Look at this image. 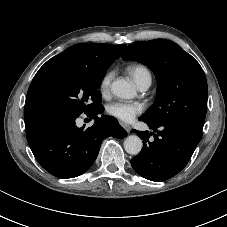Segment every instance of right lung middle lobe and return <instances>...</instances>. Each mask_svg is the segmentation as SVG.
<instances>
[{
    "label": "right lung middle lobe",
    "mask_w": 227,
    "mask_h": 227,
    "mask_svg": "<svg viewBox=\"0 0 227 227\" xmlns=\"http://www.w3.org/2000/svg\"><path fill=\"white\" fill-rule=\"evenodd\" d=\"M109 66L103 69L65 65L49 68L37 87L38 101L45 114L48 117L80 115L98 107L102 97L97 89Z\"/></svg>",
    "instance_id": "1"
}]
</instances>
